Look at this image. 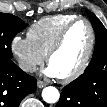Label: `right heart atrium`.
I'll return each mask as SVG.
<instances>
[{"label":"right heart atrium","instance_id":"1","mask_svg":"<svg viewBox=\"0 0 107 107\" xmlns=\"http://www.w3.org/2000/svg\"><path fill=\"white\" fill-rule=\"evenodd\" d=\"M11 51L19 67L27 72H34L43 64L46 56L32 43L28 37L16 35L11 41Z\"/></svg>","mask_w":107,"mask_h":107}]
</instances>
